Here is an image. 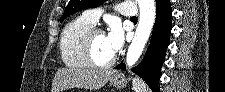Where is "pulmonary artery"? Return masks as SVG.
Wrapping results in <instances>:
<instances>
[{"instance_id": "e3ab8cb5", "label": "pulmonary artery", "mask_w": 225, "mask_h": 92, "mask_svg": "<svg viewBox=\"0 0 225 92\" xmlns=\"http://www.w3.org/2000/svg\"><path fill=\"white\" fill-rule=\"evenodd\" d=\"M132 6H133L132 3L124 2L120 5V7L116 9V11H118L120 14L126 17L133 18L135 16V12L131 9H128L131 8ZM82 16L92 24H97L100 19V10L89 9L84 11Z\"/></svg>"}]
</instances>
